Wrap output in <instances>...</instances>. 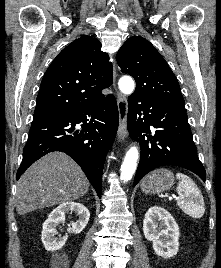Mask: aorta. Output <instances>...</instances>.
<instances>
[{"label":"aorta","instance_id":"aorta-1","mask_svg":"<svg viewBox=\"0 0 221 268\" xmlns=\"http://www.w3.org/2000/svg\"><path fill=\"white\" fill-rule=\"evenodd\" d=\"M118 85L120 91L124 94H131L135 88L134 81L130 76L121 77ZM137 160H138V149L135 146H133L127 151L123 163L121 165L120 178L122 181L127 182L132 178L133 174L136 171Z\"/></svg>","mask_w":221,"mask_h":268}]
</instances>
